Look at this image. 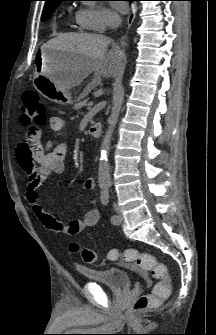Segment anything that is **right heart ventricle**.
Instances as JSON below:
<instances>
[{
  "label": "right heart ventricle",
  "instance_id": "right-heart-ventricle-1",
  "mask_svg": "<svg viewBox=\"0 0 216 335\" xmlns=\"http://www.w3.org/2000/svg\"><path fill=\"white\" fill-rule=\"evenodd\" d=\"M75 22H76V24L79 25L80 27L85 28V27L82 25V23L80 22V20H79V18H78V14H76V16H75Z\"/></svg>",
  "mask_w": 216,
  "mask_h": 335
}]
</instances>
